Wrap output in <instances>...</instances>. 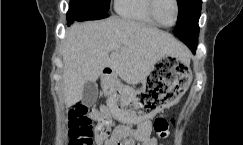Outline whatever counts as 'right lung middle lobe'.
I'll use <instances>...</instances> for the list:
<instances>
[{
  "label": "right lung middle lobe",
  "instance_id": "dd1d6c3e",
  "mask_svg": "<svg viewBox=\"0 0 243 145\" xmlns=\"http://www.w3.org/2000/svg\"><path fill=\"white\" fill-rule=\"evenodd\" d=\"M70 5L91 6L99 11L108 12L110 0H71Z\"/></svg>",
  "mask_w": 243,
  "mask_h": 145
}]
</instances>
